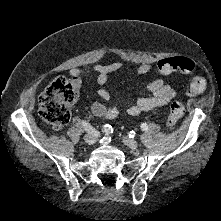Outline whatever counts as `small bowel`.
Instances as JSON below:
<instances>
[{"mask_svg": "<svg viewBox=\"0 0 221 221\" xmlns=\"http://www.w3.org/2000/svg\"><path fill=\"white\" fill-rule=\"evenodd\" d=\"M124 63L122 61H115L109 64H95L89 70H82L79 68H72L70 76L72 83L79 88L82 84V77L85 75L95 74L96 81L99 86L98 95L104 101H110L111 94L102 86L108 80L109 74L121 69ZM152 65L150 63L141 64L137 70V75H144L151 71ZM148 95L138 97L133 103L127 105L126 112L131 116L139 115L142 112L164 106L168 104L175 96L173 88L167 84L163 79L158 78L149 83L146 88ZM91 111L95 116L106 117L114 119L119 114V109L116 106H106L103 103L96 102L92 105Z\"/></svg>", "mask_w": 221, "mask_h": 221, "instance_id": "obj_1", "label": "small bowel"}]
</instances>
